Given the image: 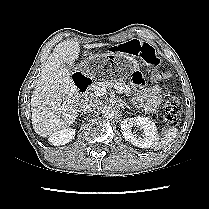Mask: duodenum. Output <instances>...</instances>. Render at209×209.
I'll use <instances>...</instances> for the list:
<instances>
[{
    "mask_svg": "<svg viewBox=\"0 0 209 209\" xmlns=\"http://www.w3.org/2000/svg\"><path fill=\"white\" fill-rule=\"evenodd\" d=\"M72 81H73L76 89L80 93L87 92L92 84L91 80H89L85 75L80 74V73L74 74L72 77Z\"/></svg>",
    "mask_w": 209,
    "mask_h": 209,
    "instance_id": "duodenum-1",
    "label": "duodenum"
}]
</instances>
